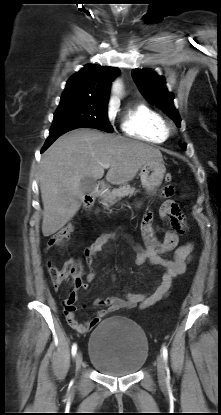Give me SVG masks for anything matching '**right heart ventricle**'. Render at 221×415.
Listing matches in <instances>:
<instances>
[{
  "instance_id": "right-heart-ventricle-1",
  "label": "right heart ventricle",
  "mask_w": 221,
  "mask_h": 415,
  "mask_svg": "<svg viewBox=\"0 0 221 415\" xmlns=\"http://www.w3.org/2000/svg\"><path fill=\"white\" fill-rule=\"evenodd\" d=\"M120 128L126 136L150 143H162L169 136L162 114L144 103H136L126 110Z\"/></svg>"
}]
</instances>
